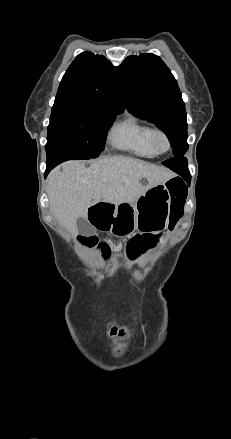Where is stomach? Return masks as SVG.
<instances>
[{"label":"stomach","mask_w":231,"mask_h":439,"mask_svg":"<svg viewBox=\"0 0 231 439\" xmlns=\"http://www.w3.org/2000/svg\"><path fill=\"white\" fill-rule=\"evenodd\" d=\"M170 193L165 183L148 189L134 203L126 218L113 227L118 235H131L136 230H161L166 227L170 216Z\"/></svg>","instance_id":"1"}]
</instances>
